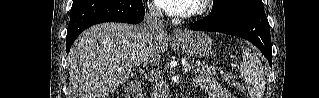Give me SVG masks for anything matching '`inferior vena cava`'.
<instances>
[{"mask_svg": "<svg viewBox=\"0 0 319 98\" xmlns=\"http://www.w3.org/2000/svg\"><path fill=\"white\" fill-rule=\"evenodd\" d=\"M148 10L144 17V30L150 39L158 44L162 39L167 36L165 26L162 20V12L152 4L148 3ZM150 63L154 68L151 71L150 77L153 83V91L151 98H167L168 89L163 79V73L160 67V51L155 49L152 53Z\"/></svg>", "mask_w": 319, "mask_h": 98, "instance_id": "inferior-vena-cava-1", "label": "inferior vena cava"}]
</instances>
